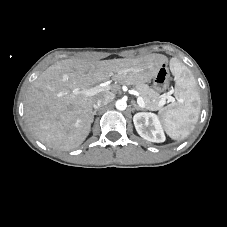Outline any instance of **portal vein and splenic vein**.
Here are the masks:
<instances>
[{
  "instance_id": "obj_1",
  "label": "portal vein and splenic vein",
  "mask_w": 227,
  "mask_h": 227,
  "mask_svg": "<svg viewBox=\"0 0 227 227\" xmlns=\"http://www.w3.org/2000/svg\"><path fill=\"white\" fill-rule=\"evenodd\" d=\"M110 87L108 85H97L95 87L89 88L85 91L86 96H94L102 91H107L109 90ZM165 98H168L169 101H173V97L171 96H166ZM165 98H163L160 102L161 105L165 104ZM137 103L140 107L144 108L145 107V102L143 98L140 95H137Z\"/></svg>"
}]
</instances>
